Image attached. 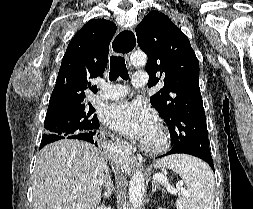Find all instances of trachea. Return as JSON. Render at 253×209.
I'll use <instances>...</instances> for the list:
<instances>
[{"label": "trachea", "instance_id": "trachea-1", "mask_svg": "<svg viewBox=\"0 0 253 209\" xmlns=\"http://www.w3.org/2000/svg\"><path fill=\"white\" fill-rule=\"evenodd\" d=\"M116 50L122 51L120 46L116 47ZM119 76L123 80L129 79L128 70L126 68L125 60L121 56H111L110 57V72H109V80L114 81Z\"/></svg>", "mask_w": 253, "mask_h": 209}]
</instances>
